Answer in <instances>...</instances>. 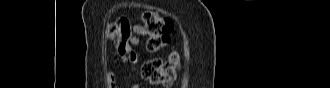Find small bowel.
<instances>
[{
	"instance_id": "1",
	"label": "small bowel",
	"mask_w": 330,
	"mask_h": 88,
	"mask_svg": "<svg viewBox=\"0 0 330 88\" xmlns=\"http://www.w3.org/2000/svg\"><path fill=\"white\" fill-rule=\"evenodd\" d=\"M132 30L134 32V35L130 38L129 41V51L125 56H122V58L126 61L131 62L132 64H136L138 62V55L137 53L131 48V46L138 45L140 42V37L146 35L145 29L141 25H133ZM107 81L111 88H116V77L115 73L110 71L107 74ZM132 88H138L137 84H134L131 86Z\"/></svg>"
}]
</instances>
